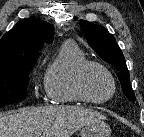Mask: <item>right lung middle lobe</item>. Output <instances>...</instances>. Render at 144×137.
<instances>
[{
    "label": "right lung middle lobe",
    "mask_w": 144,
    "mask_h": 137,
    "mask_svg": "<svg viewBox=\"0 0 144 137\" xmlns=\"http://www.w3.org/2000/svg\"><path fill=\"white\" fill-rule=\"evenodd\" d=\"M36 60L0 64V107L20 102L26 96L29 73Z\"/></svg>",
    "instance_id": "1"
}]
</instances>
